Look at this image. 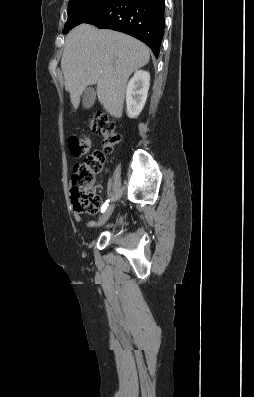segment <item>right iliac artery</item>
Returning a JSON list of instances; mask_svg holds the SVG:
<instances>
[{"label":"right iliac artery","instance_id":"right-iliac-artery-1","mask_svg":"<svg viewBox=\"0 0 254 397\" xmlns=\"http://www.w3.org/2000/svg\"><path fill=\"white\" fill-rule=\"evenodd\" d=\"M108 205H109V200H107V201L102 205V207H101V212H104V211L107 209Z\"/></svg>","mask_w":254,"mask_h":397}]
</instances>
